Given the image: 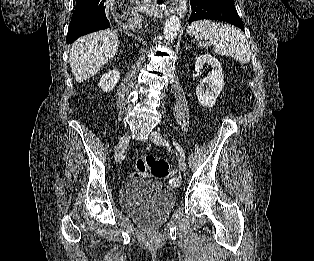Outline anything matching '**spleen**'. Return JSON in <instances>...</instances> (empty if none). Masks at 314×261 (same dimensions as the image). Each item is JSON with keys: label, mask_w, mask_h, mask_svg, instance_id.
Wrapping results in <instances>:
<instances>
[{"label": "spleen", "mask_w": 314, "mask_h": 261, "mask_svg": "<svg viewBox=\"0 0 314 261\" xmlns=\"http://www.w3.org/2000/svg\"><path fill=\"white\" fill-rule=\"evenodd\" d=\"M187 33L199 42V47L213 46L215 53L230 56L242 64H247L251 59L250 45L244 34L235 27L208 20H199L188 26Z\"/></svg>", "instance_id": "obj_1"}]
</instances>
